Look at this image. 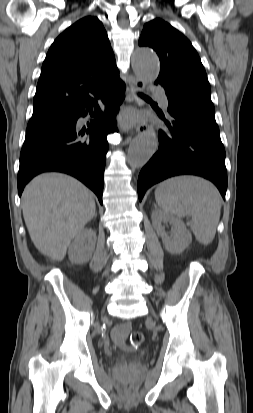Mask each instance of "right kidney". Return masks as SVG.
Returning <instances> with one entry per match:
<instances>
[{
	"mask_svg": "<svg viewBox=\"0 0 253 413\" xmlns=\"http://www.w3.org/2000/svg\"><path fill=\"white\" fill-rule=\"evenodd\" d=\"M96 238V232L92 229L79 232L69 246V260L74 264L87 263L95 250Z\"/></svg>",
	"mask_w": 253,
	"mask_h": 413,
	"instance_id": "ca27d5eb",
	"label": "right kidney"
}]
</instances>
